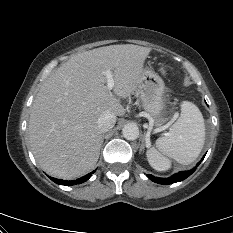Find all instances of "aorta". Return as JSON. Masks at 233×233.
I'll return each mask as SVG.
<instances>
[{
    "label": "aorta",
    "instance_id": "762f6f07",
    "mask_svg": "<svg viewBox=\"0 0 233 233\" xmlns=\"http://www.w3.org/2000/svg\"><path fill=\"white\" fill-rule=\"evenodd\" d=\"M122 134L127 140H135L139 136V128L136 124H126L122 129Z\"/></svg>",
    "mask_w": 233,
    "mask_h": 233
}]
</instances>
